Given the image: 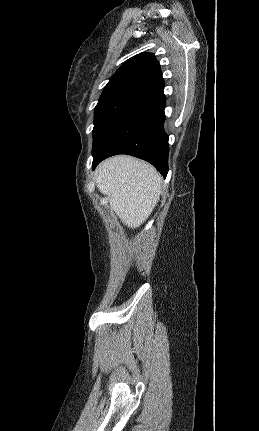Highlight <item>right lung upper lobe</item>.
Returning a JSON list of instances; mask_svg holds the SVG:
<instances>
[{
	"label": "right lung upper lobe",
	"instance_id": "right-lung-upper-lobe-1",
	"mask_svg": "<svg viewBox=\"0 0 259 431\" xmlns=\"http://www.w3.org/2000/svg\"><path fill=\"white\" fill-rule=\"evenodd\" d=\"M131 82H137L152 92L164 87L160 65L153 54L140 53L124 62L110 78L104 91L113 90Z\"/></svg>",
	"mask_w": 259,
	"mask_h": 431
}]
</instances>
